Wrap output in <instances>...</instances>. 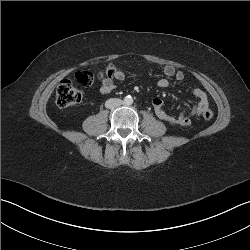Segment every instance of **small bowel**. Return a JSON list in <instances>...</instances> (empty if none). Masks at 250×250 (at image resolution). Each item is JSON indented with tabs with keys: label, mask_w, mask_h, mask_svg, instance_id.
I'll use <instances>...</instances> for the list:
<instances>
[{
	"label": "small bowel",
	"mask_w": 250,
	"mask_h": 250,
	"mask_svg": "<svg viewBox=\"0 0 250 250\" xmlns=\"http://www.w3.org/2000/svg\"><path fill=\"white\" fill-rule=\"evenodd\" d=\"M164 78L157 82L160 88H167L172 84L171 79H174L178 84L184 85V73L177 70L172 65H167L163 69ZM124 78L122 71H118L114 77L104 78L100 83V92L109 94L116 88V82ZM193 95L197 98V103L192 105L188 110H183L178 115L168 114L164 110L163 101L160 98L153 99V109L157 117L171 126H188L192 123L194 117L199 116L202 112L209 108V101L206 93L200 88L192 89Z\"/></svg>",
	"instance_id": "small-bowel-1"
}]
</instances>
